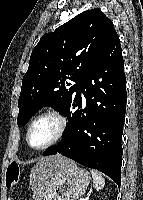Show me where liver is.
<instances>
[{
    "instance_id": "1",
    "label": "liver",
    "mask_w": 143,
    "mask_h": 200,
    "mask_svg": "<svg viewBox=\"0 0 143 200\" xmlns=\"http://www.w3.org/2000/svg\"><path fill=\"white\" fill-rule=\"evenodd\" d=\"M74 163L60 154L42 158L31 170L30 185L34 200H42L52 175L67 164Z\"/></svg>"
}]
</instances>
